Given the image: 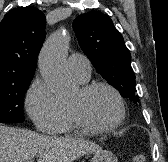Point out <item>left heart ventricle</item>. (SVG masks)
Segmentation results:
<instances>
[{
	"label": "left heart ventricle",
	"mask_w": 168,
	"mask_h": 162,
	"mask_svg": "<svg viewBox=\"0 0 168 162\" xmlns=\"http://www.w3.org/2000/svg\"><path fill=\"white\" fill-rule=\"evenodd\" d=\"M70 105L80 109L83 116L95 125H107L118 116V105L114 96L100 88L83 95L81 90L74 96Z\"/></svg>",
	"instance_id": "1"
}]
</instances>
